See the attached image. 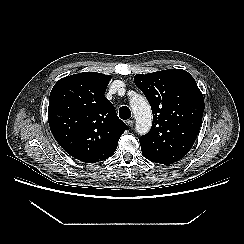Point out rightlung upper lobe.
<instances>
[{
	"label": "right lung upper lobe",
	"instance_id": "right-lung-upper-lobe-1",
	"mask_svg": "<svg viewBox=\"0 0 244 244\" xmlns=\"http://www.w3.org/2000/svg\"><path fill=\"white\" fill-rule=\"evenodd\" d=\"M110 75L83 72L60 79L53 87L48 122L59 145L86 163L103 161L115 152L128 126L105 97Z\"/></svg>",
	"mask_w": 244,
	"mask_h": 244
}]
</instances>
